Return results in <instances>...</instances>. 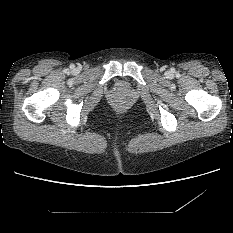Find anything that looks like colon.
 <instances>
[{"instance_id":"5ec220e1","label":"colon","mask_w":233,"mask_h":233,"mask_svg":"<svg viewBox=\"0 0 233 233\" xmlns=\"http://www.w3.org/2000/svg\"><path fill=\"white\" fill-rule=\"evenodd\" d=\"M115 110L118 112H124L127 108V103L123 99L116 100L114 103Z\"/></svg>"}]
</instances>
